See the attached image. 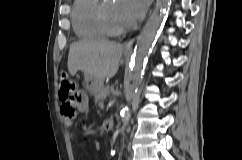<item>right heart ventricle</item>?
Segmentation results:
<instances>
[{
    "instance_id": "e07e8e85",
    "label": "right heart ventricle",
    "mask_w": 242,
    "mask_h": 160,
    "mask_svg": "<svg viewBox=\"0 0 242 160\" xmlns=\"http://www.w3.org/2000/svg\"><path fill=\"white\" fill-rule=\"evenodd\" d=\"M99 3V0H74L71 20L78 37L86 40L104 37L96 20V9Z\"/></svg>"
}]
</instances>
